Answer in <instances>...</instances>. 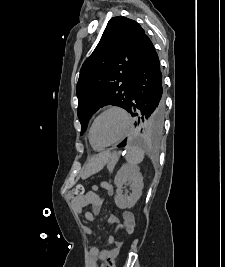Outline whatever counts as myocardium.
<instances>
[{
    "label": "myocardium",
    "instance_id": "obj_1",
    "mask_svg": "<svg viewBox=\"0 0 225 267\" xmlns=\"http://www.w3.org/2000/svg\"><path fill=\"white\" fill-rule=\"evenodd\" d=\"M108 112H118L120 113L124 120H125V127L124 130L122 132V134L115 139L114 141H111L109 143L106 144H102V145H98L95 143L94 138H93V130H94V126L97 122V120L103 116L104 114L108 113ZM131 126H132V120H131V116L129 114V112L124 109L123 107L120 106H109L107 108H105L104 110H102L92 121L90 129H89V134H88V138H89V142L92 145V147L96 148V149H104L113 145H116L120 142H122L127 135L129 134L130 130H131Z\"/></svg>",
    "mask_w": 225,
    "mask_h": 267
}]
</instances>
